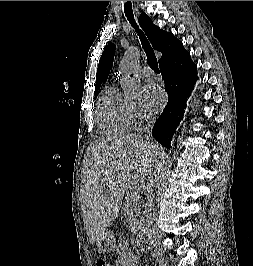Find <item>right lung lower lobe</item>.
Instances as JSON below:
<instances>
[{
	"label": "right lung lower lobe",
	"instance_id": "right-lung-lower-lobe-1",
	"mask_svg": "<svg viewBox=\"0 0 253 266\" xmlns=\"http://www.w3.org/2000/svg\"><path fill=\"white\" fill-rule=\"evenodd\" d=\"M159 67L169 100L154 124L152 136L164 147L170 148L172 135L183 119L187 98L197 80V67L185 49Z\"/></svg>",
	"mask_w": 253,
	"mask_h": 266
}]
</instances>
